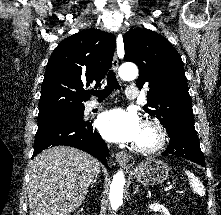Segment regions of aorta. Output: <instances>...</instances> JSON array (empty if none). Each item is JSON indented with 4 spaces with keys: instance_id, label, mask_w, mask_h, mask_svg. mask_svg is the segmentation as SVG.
I'll return each mask as SVG.
<instances>
[{
    "instance_id": "1",
    "label": "aorta",
    "mask_w": 221,
    "mask_h": 215,
    "mask_svg": "<svg viewBox=\"0 0 221 215\" xmlns=\"http://www.w3.org/2000/svg\"><path fill=\"white\" fill-rule=\"evenodd\" d=\"M119 76L123 80H134L138 76V68L133 63H125L119 68ZM124 185L125 175L120 170L113 176L110 186L109 199L114 210L122 204Z\"/></svg>"
}]
</instances>
